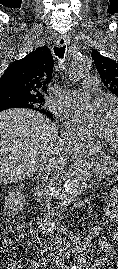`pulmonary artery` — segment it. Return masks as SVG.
I'll return each mask as SVG.
<instances>
[{
  "mask_svg": "<svg viewBox=\"0 0 118 269\" xmlns=\"http://www.w3.org/2000/svg\"><path fill=\"white\" fill-rule=\"evenodd\" d=\"M98 80L95 77H88L83 81L84 91L69 90L63 97L57 98V102L65 106H74L82 103L90 92L97 89Z\"/></svg>",
  "mask_w": 118,
  "mask_h": 269,
  "instance_id": "obj_1",
  "label": "pulmonary artery"
}]
</instances>
